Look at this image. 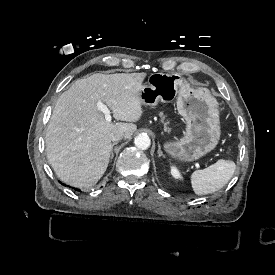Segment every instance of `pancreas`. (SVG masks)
Returning <instances> with one entry per match:
<instances>
[{
	"mask_svg": "<svg viewBox=\"0 0 275 275\" xmlns=\"http://www.w3.org/2000/svg\"><path fill=\"white\" fill-rule=\"evenodd\" d=\"M160 116H163V114L161 113V114H160ZM165 125H166V124H165ZM164 129H165V130H167V128H166V127H165Z\"/></svg>",
	"mask_w": 275,
	"mask_h": 275,
	"instance_id": "pancreas-1",
	"label": "pancreas"
}]
</instances>
